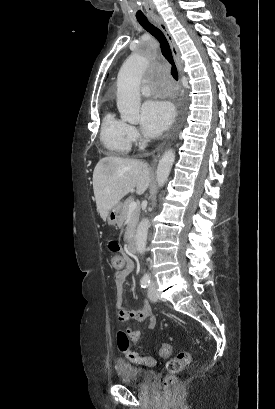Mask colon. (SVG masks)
<instances>
[{
	"instance_id": "colon-1",
	"label": "colon",
	"mask_w": 275,
	"mask_h": 409,
	"mask_svg": "<svg viewBox=\"0 0 275 409\" xmlns=\"http://www.w3.org/2000/svg\"><path fill=\"white\" fill-rule=\"evenodd\" d=\"M108 248L111 251H119L120 244L116 240H110L108 242ZM113 268L115 270H120L122 268L123 259L121 256H114L112 259ZM160 356L162 358H167L171 353L170 344L168 341H163L160 347ZM192 361V356L189 352H180L177 355L171 357L167 362V376L163 380V384L168 386L171 385L177 376H179L182 371L189 366Z\"/></svg>"
}]
</instances>
